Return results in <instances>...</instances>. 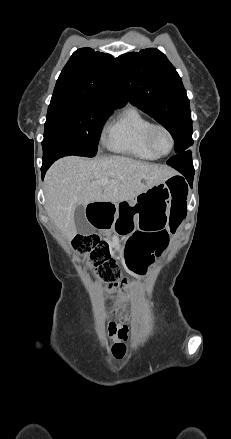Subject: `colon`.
Here are the masks:
<instances>
[{"instance_id":"1","label":"colon","mask_w":231,"mask_h":439,"mask_svg":"<svg viewBox=\"0 0 231 439\" xmlns=\"http://www.w3.org/2000/svg\"><path fill=\"white\" fill-rule=\"evenodd\" d=\"M169 189L173 196V215L170 219V228L176 230L186 215L188 187L184 181L172 179L169 181ZM148 229L147 226H143V230ZM142 241L143 237L139 234L130 239L133 254L140 253ZM74 247L88 257L91 269L98 277L107 282L110 290L119 286L128 289L131 286L130 279H121L120 270L111 256L110 246L106 241L93 234L79 235L74 240Z\"/></svg>"}]
</instances>
